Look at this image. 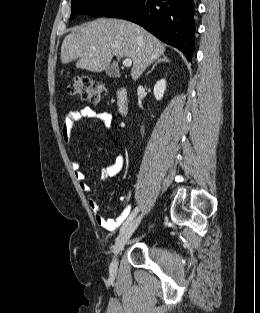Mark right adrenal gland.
Instances as JSON below:
<instances>
[{
	"label": "right adrenal gland",
	"mask_w": 260,
	"mask_h": 313,
	"mask_svg": "<svg viewBox=\"0 0 260 313\" xmlns=\"http://www.w3.org/2000/svg\"><path fill=\"white\" fill-rule=\"evenodd\" d=\"M160 62H169V59L166 56H163L161 59H158L152 66L151 70L147 72V74L151 73L153 69L157 66V64Z\"/></svg>",
	"instance_id": "obj_1"
}]
</instances>
